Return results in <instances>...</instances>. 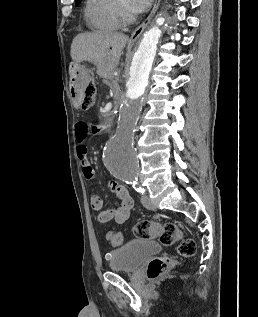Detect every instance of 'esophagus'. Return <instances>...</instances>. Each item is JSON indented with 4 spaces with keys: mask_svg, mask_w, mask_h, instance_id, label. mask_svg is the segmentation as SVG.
Wrapping results in <instances>:
<instances>
[{
    "mask_svg": "<svg viewBox=\"0 0 258 317\" xmlns=\"http://www.w3.org/2000/svg\"><path fill=\"white\" fill-rule=\"evenodd\" d=\"M160 0H155L153 9L151 10L150 14L148 15V17L146 18V20H144L143 23H141V25H139V27H137L131 34L130 36V40H136L138 39L142 33L144 32L145 28L147 27V25L150 23V21L152 20V17L154 16V14L156 13V10L158 9Z\"/></svg>",
    "mask_w": 258,
    "mask_h": 317,
    "instance_id": "1",
    "label": "esophagus"
}]
</instances>
